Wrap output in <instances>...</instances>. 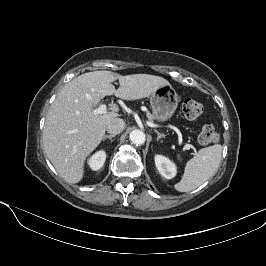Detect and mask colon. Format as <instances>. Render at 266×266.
<instances>
[{
    "label": "colon",
    "instance_id": "5ec220e1",
    "mask_svg": "<svg viewBox=\"0 0 266 266\" xmlns=\"http://www.w3.org/2000/svg\"><path fill=\"white\" fill-rule=\"evenodd\" d=\"M182 110L187 119L194 120L203 114L204 107L200 102L189 98L183 102ZM219 139L220 135L212 124L204 125L198 135V142L203 146L215 144Z\"/></svg>",
    "mask_w": 266,
    "mask_h": 266
}]
</instances>
